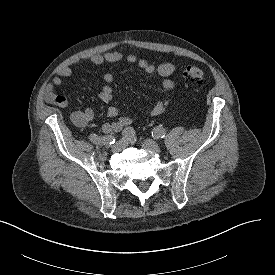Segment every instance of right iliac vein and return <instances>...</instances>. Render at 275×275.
I'll return each mask as SVG.
<instances>
[{
    "label": "right iliac vein",
    "mask_w": 275,
    "mask_h": 275,
    "mask_svg": "<svg viewBox=\"0 0 275 275\" xmlns=\"http://www.w3.org/2000/svg\"><path fill=\"white\" fill-rule=\"evenodd\" d=\"M126 146V140L121 139L112 146L113 152H120Z\"/></svg>",
    "instance_id": "obj_1"
}]
</instances>
